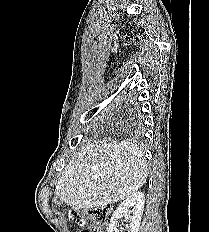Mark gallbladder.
<instances>
[{"instance_id": "bac80fb5", "label": "gallbladder", "mask_w": 209, "mask_h": 232, "mask_svg": "<svg viewBox=\"0 0 209 232\" xmlns=\"http://www.w3.org/2000/svg\"><path fill=\"white\" fill-rule=\"evenodd\" d=\"M57 204H58V205H60V202H59V201H57Z\"/></svg>"}]
</instances>
